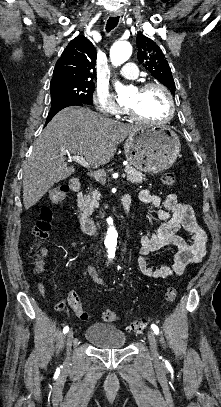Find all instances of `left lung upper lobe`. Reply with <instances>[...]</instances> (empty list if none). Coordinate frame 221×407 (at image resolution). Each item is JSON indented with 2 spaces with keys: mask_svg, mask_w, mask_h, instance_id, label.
<instances>
[{
  "mask_svg": "<svg viewBox=\"0 0 221 407\" xmlns=\"http://www.w3.org/2000/svg\"><path fill=\"white\" fill-rule=\"evenodd\" d=\"M138 60L151 75L164 84L171 93L175 92V82L171 68L159 46L143 34L137 35Z\"/></svg>",
  "mask_w": 221,
  "mask_h": 407,
  "instance_id": "1",
  "label": "left lung upper lobe"
}]
</instances>
